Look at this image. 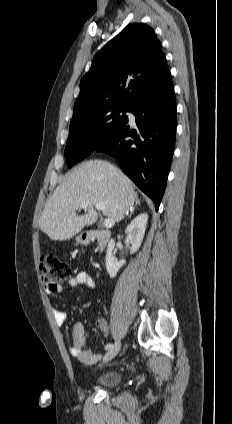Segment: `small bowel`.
Returning <instances> with one entry per match:
<instances>
[{
	"label": "small bowel",
	"mask_w": 232,
	"mask_h": 424,
	"mask_svg": "<svg viewBox=\"0 0 232 424\" xmlns=\"http://www.w3.org/2000/svg\"><path fill=\"white\" fill-rule=\"evenodd\" d=\"M69 285L73 288L83 286L89 289L95 287V280L90 272L82 270L78 271L70 280ZM64 287L62 285H58L55 289H50L51 293H59L63 291ZM53 317L57 324L63 325L67 321L66 312L53 309L52 310ZM97 326L102 331V333L107 336L109 334V327L104 319H99L97 321ZM72 336H73V344L69 349L71 356L78 359L79 362L85 365H93L100 358L99 354H95L90 350L85 348V344L88 338V335L84 331V328L80 322H76L72 326Z\"/></svg>",
	"instance_id": "c3829d8e"
}]
</instances>
